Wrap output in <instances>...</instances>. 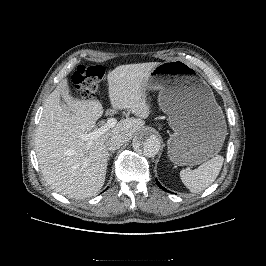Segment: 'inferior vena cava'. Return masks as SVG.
I'll list each match as a JSON object with an SVG mask.
<instances>
[{"label":"inferior vena cava","instance_id":"1","mask_svg":"<svg viewBox=\"0 0 266 266\" xmlns=\"http://www.w3.org/2000/svg\"><path fill=\"white\" fill-rule=\"evenodd\" d=\"M124 142H126V140L123 136L112 135L106 140L105 145L108 150L113 151V150L119 149L123 145Z\"/></svg>","mask_w":266,"mask_h":266}]
</instances>
